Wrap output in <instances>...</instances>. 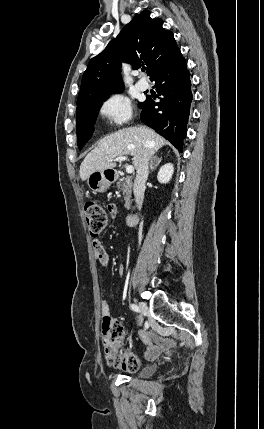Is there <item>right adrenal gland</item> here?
Listing matches in <instances>:
<instances>
[{
    "mask_svg": "<svg viewBox=\"0 0 264 429\" xmlns=\"http://www.w3.org/2000/svg\"><path fill=\"white\" fill-rule=\"evenodd\" d=\"M162 158L157 157L156 155L152 157L150 162V172L156 169V167L160 164Z\"/></svg>",
    "mask_w": 264,
    "mask_h": 429,
    "instance_id": "1",
    "label": "right adrenal gland"
}]
</instances>
